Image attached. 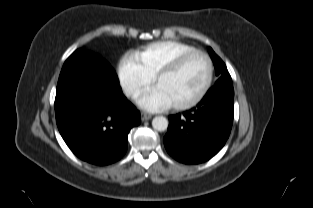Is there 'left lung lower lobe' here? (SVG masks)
Masks as SVG:
<instances>
[{"mask_svg": "<svg viewBox=\"0 0 313 208\" xmlns=\"http://www.w3.org/2000/svg\"><path fill=\"white\" fill-rule=\"evenodd\" d=\"M232 84L214 85L203 99L182 115H171L164 145L168 153L185 164L205 162L225 145L233 123Z\"/></svg>", "mask_w": 313, "mask_h": 208, "instance_id": "left-lung-lower-lobe-1", "label": "left lung lower lobe"}]
</instances>
